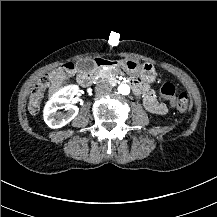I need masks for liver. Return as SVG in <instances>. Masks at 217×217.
I'll return each mask as SVG.
<instances>
[{
    "label": "liver",
    "mask_w": 217,
    "mask_h": 217,
    "mask_svg": "<svg viewBox=\"0 0 217 217\" xmlns=\"http://www.w3.org/2000/svg\"><path fill=\"white\" fill-rule=\"evenodd\" d=\"M74 71L71 69L61 68L58 75L53 79L48 90V99L53 98L64 87L72 83L71 77Z\"/></svg>",
    "instance_id": "6515ba94"
}]
</instances>
